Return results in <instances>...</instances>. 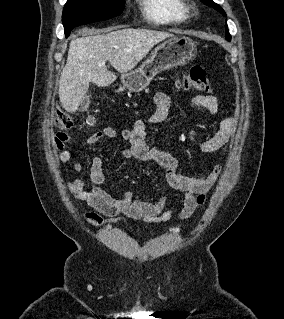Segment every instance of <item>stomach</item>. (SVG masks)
<instances>
[{"instance_id": "1", "label": "stomach", "mask_w": 284, "mask_h": 319, "mask_svg": "<svg viewBox=\"0 0 284 319\" xmlns=\"http://www.w3.org/2000/svg\"><path fill=\"white\" fill-rule=\"evenodd\" d=\"M197 54L195 42L185 36L171 37L158 45L149 58L136 70L125 73L121 77L123 87L116 91L128 89L131 92L144 90L152 79L161 71L185 65Z\"/></svg>"}]
</instances>
